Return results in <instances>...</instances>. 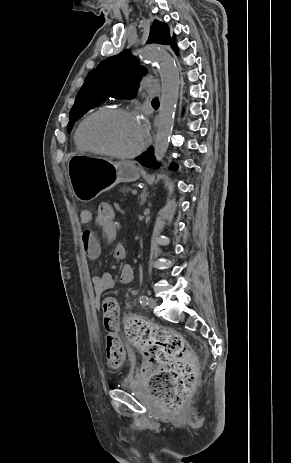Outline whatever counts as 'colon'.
Segmentation results:
<instances>
[{
  "mask_svg": "<svg viewBox=\"0 0 291 463\" xmlns=\"http://www.w3.org/2000/svg\"><path fill=\"white\" fill-rule=\"evenodd\" d=\"M97 217L100 226H113L118 212L111 203L100 200ZM120 315L114 299L103 301L102 318L108 331L106 358L111 368L120 367L125 360L118 334ZM126 330L145 355L142 374L148 380L150 393L167 411L174 413L195 382V365L189 346L178 332L138 318L128 319Z\"/></svg>",
  "mask_w": 291,
  "mask_h": 463,
  "instance_id": "1",
  "label": "colon"
}]
</instances>
